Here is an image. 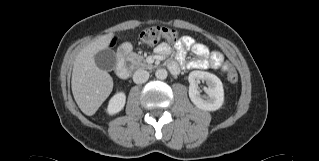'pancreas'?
Masks as SVG:
<instances>
[{
  "label": "pancreas",
  "mask_w": 319,
  "mask_h": 161,
  "mask_svg": "<svg viewBox=\"0 0 319 161\" xmlns=\"http://www.w3.org/2000/svg\"><path fill=\"white\" fill-rule=\"evenodd\" d=\"M126 59L130 61L135 68H151L152 65L148 64L143 56L131 52Z\"/></svg>",
  "instance_id": "pancreas-1"
}]
</instances>
